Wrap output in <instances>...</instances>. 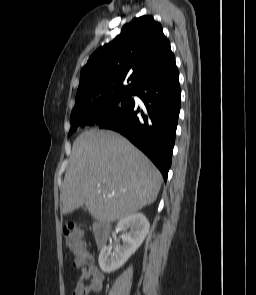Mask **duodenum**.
I'll list each match as a JSON object with an SVG mask.
<instances>
[{
  "instance_id": "1",
  "label": "duodenum",
  "mask_w": 256,
  "mask_h": 295,
  "mask_svg": "<svg viewBox=\"0 0 256 295\" xmlns=\"http://www.w3.org/2000/svg\"><path fill=\"white\" fill-rule=\"evenodd\" d=\"M111 227L106 221H96L93 225V237L96 245L102 248L108 241Z\"/></svg>"
}]
</instances>
